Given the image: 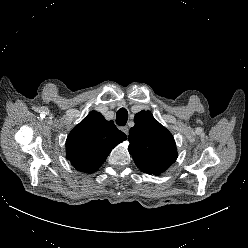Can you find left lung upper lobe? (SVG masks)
<instances>
[{
  "instance_id": "5c2ea615",
  "label": "left lung upper lobe",
  "mask_w": 248,
  "mask_h": 248,
  "mask_svg": "<svg viewBox=\"0 0 248 248\" xmlns=\"http://www.w3.org/2000/svg\"><path fill=\"white\" fill-rule=\"evenodd\" d=\"M134 122L128 136L129 153L141 171L160 175L177 159L174 138L150 111L137 113Z\"/></svg>"
}]
</instances>
